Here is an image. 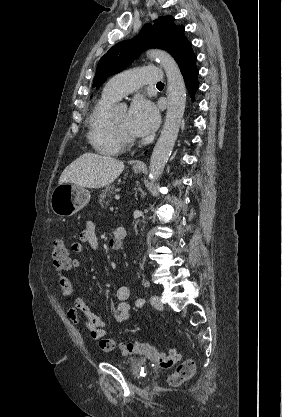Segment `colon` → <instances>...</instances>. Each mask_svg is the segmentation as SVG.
<instances>
[{"instance_id": "5ec220e1", "label": "colon", "mask_w": 282, "mask_h": 417, "mask_svg": "<svg viewBox=\"0 0 282 417\" xmlns=\"http://www.w3.org/2000/svg\"><path fill=\"white\" fill-rule=\"evenodd\" d=\"M51 258L55 268L63 270L71 266V258L69 257L66 245L63 239L56 237L51 246ZM123 351L129 355L142 356L151 359L162 369H169L176 365L179 360L177 349L171 346L169 353L158 350L149 342H134L122 345ZM103 353H114L115 346L111 339H106L102 346ZM196 371V363L193 359H186L180 367L175 369L168 379L170 384L176 386L186 379L191 378Z\"/></svg>"}]
</instances>
